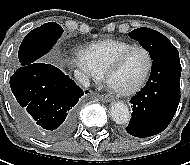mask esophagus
I'll return each mask as SVG.
<instances>
[{
    "label": "esophagus",
    "instance_id": "esophagus-1",
    "mask_svg": "<svg viewBox=\"0 0 190 165\" xmlns=\"http://www.w3.org/2000/svg\"><path fill=\"white\" fill-rule=\"evenodd\" d=\"M99 98L103 101V102H111L112 98H110L108 95H100Z\"/></svg>",
    "mask_w": 190,
    "mask_h": 165
}]
</instances>
